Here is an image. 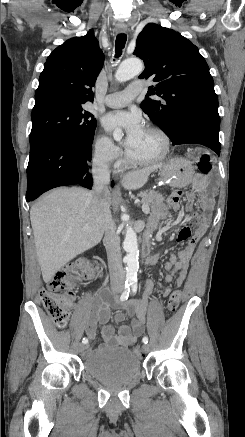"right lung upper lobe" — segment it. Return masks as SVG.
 I'll use <instances>...</instances> for the list:
<instances>
[{
  "instance_id": "obj_1",
  "label": "right lung upper lobe",
  "mask_w": 245,
  "mask_h": 437,
  "mask_svg": "<svg viewBox=\"0 0 245 437\" xmlns=\"http://www.w3.org/2000/svg\"><path fill=\"white\" fill-rule=\"evenodd\" d=\"M104 55L90 30L69 39L47 58L35 92V106L50 102L83 105L93 102L92 87L102 69Z\"/></svg>"
}]
</instances>
